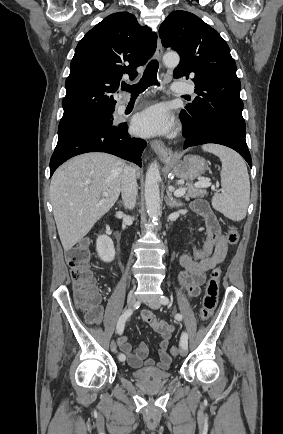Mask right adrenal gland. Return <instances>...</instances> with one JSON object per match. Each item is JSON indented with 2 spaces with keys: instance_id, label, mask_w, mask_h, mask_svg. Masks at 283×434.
<instances>
[{
  "instance_id": "obj_1",
  "label": "right adrenal gland",
  "mask_w": 283,
  "mask_h": 434,
  "mask_svg": "<svg viewBox=\"0 0 283 434\" xmlns=\"http://www.w3.org/2000/svg\"><path fill=\"white\" fill-rule=\"evenodd\" d=\"M119 205H122V202H119Z\"/></svg>"
}]
</instances>
